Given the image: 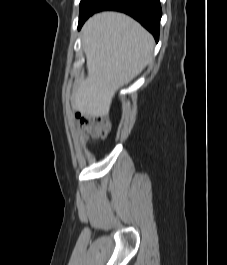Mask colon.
<instances>
[{
	"instance_id": "colon-1",
	"label": "colon",
	"mask_w": 227,
	"mask_h": 265,
	"mask_svg": "<svg viewBox=\"0 0 227 265\" xmlns=\"http://www.w3.org/2000/svg\"><path fill=\"white\" fill-rule=\"evenodd\" d=\"M76 117L92 138H105L110 132V121L104 115L90 116L78 113Z\"/></svg>"
}]
</instances>
